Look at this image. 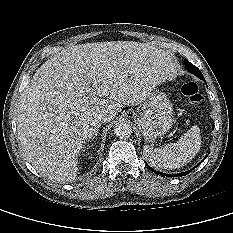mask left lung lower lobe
I'll return each mask as SVG.
<instances>
[{
  "label": "left lung lower lobe",
  "mask_w": 233,
  "mask_h": 233,
  "mask_svg": "<svg viewBox=\"0 0 233 233\" xmlns=\"http://www.w3.org/2000/svg\"><path fill=\"white\" fill-rule=\"evenodd\" d=\"M201 80L205 81L204 78L201 79ZM206 157H207V156H205V158H206ZM205 158H204V159H205ZM204 159H203L202 161H204ZM202 161H201V162H202ZM201 162H200V163H201ZM200 163H199V164H200ZM199 164H198V165H199ZM146 165H147V164H146ZM198 165H197V166H198ZM147 166H148V165H147ZM197 166H196V167H197ZM148 168H149L151 171H153L154 173H158V174L165 175V176H185V175L188 174L190 171H192L195 167H194L193 169H191L190 171L183 172V173H179V174H172V175H171V174H164V173H161V172H157V171H155L154 169L150 168L149 166H148Z\"/></svg>",
  "instance_id": "0a47b994"
}]
</instances>
